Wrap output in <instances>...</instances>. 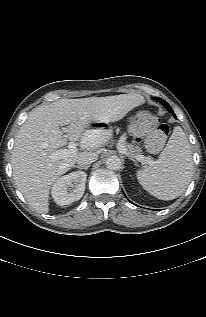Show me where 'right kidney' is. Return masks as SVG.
Listing matches in <instances>:
<instances>
[{
  "label": "right kidney",
  "instance_id": "ca27d5eb",
  "mask_svg": "<svg viewBox=\"0 0 206 317\" xmlns=\"http://www.w3.org/2000/svg\"><path fill=\"white\" fill-rule=\"evenodd\" d=\"M87 174L76 171L58 178L53 184L51 194L54 201L60 205H70L79 200L85 191ZM74 188L71 190V188Z\"/></svg>",
  "mask_w": 206,
  "mask_h": 317
}]
</instances>
